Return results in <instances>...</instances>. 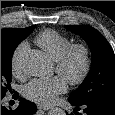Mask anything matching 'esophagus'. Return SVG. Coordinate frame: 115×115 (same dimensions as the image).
Returning <instances> with one entry per match:
<instances>
[{
    "mask_svg": "<svg viewBox=\"0 0 115 115\" xmlns=\"http://www.w3.org/2000/svg\"><path fill=\"white\" fill-rule=\"evenodd\" d=\"M38 109H40V110H49L50 108L47 107V106L38 105Z\"/></svg>",
    "mask_w": 115,
    "mask_h": 115,
    "instance_id": "obj_1",
    "label": "esophagus"
}]
</instances>
